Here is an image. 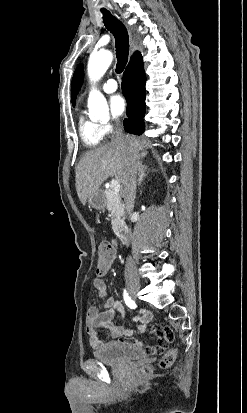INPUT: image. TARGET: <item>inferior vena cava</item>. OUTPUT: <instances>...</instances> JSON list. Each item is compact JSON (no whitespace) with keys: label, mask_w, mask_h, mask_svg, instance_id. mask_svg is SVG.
Returning a JSON list of instances; mask_svg holds the SVG:
<instances>
[{"label":"inferior vena cava","mask_w":247,"mask_h":413,"mask_svg":"<svg viewBox=\"0 0 247 413\" xmlns=\"http://www.w3.org/2000/svg\"><path fill=\"white\" fill-rule=\"evenodd\" d=\"M112 142H127V160L124 166L123 174V198L125 202V209L127 213H132L134 207V200L136 196V176L141 168L139 156L135 146L132 144V138L129 134H123L121 128H116ZM125 281L132 283L138 281V275L135 263L132 257L126 259L125 265Z\"/></svg>","instance_id":"1"}]
</instances>
